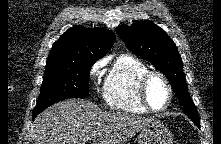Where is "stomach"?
<instances>
[{
	"label": "stomach",
	"mask_w": 221,
	"mask_h": 144,
	"mask_svg": "<svg viewBox=\"0 0 221 144\" xmlns=\"http://www.w3.org/2000/svg\"><path fill=\"white\" fill-rule=\"evenodd\" d=\"M173 135L170 129L160 121L143 128L139 134L138 144H172Z\"/></svg>",
	"instance_id": "obj_1"
}]
</instances>
